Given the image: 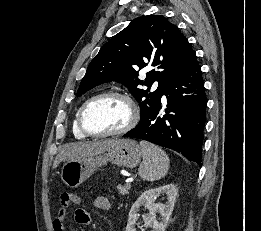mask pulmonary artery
I'll list each match as a JSON object with an SVG mask.
<instances>
[{"label": "pulmonary artery", "mask_w": 261, "mask_h": 231, "mask_svg": "<svg viewBox=\"0 0 261 231\" xmlns=\"http://www.w3.org/2000/svg\"><path fill=\"white\" fill-rule=\"evenodd\" d=\"M156 86H157V83H154V84H153V87H156Z\"/></svg>", "instance_id": "pulmonary-artery-1"}]
</instances>
